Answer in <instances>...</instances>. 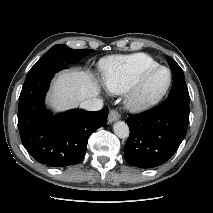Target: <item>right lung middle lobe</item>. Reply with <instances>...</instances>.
Listing matches in <instances>:
<instances>
[{"instance_id": "right-lung-middle-lobe-1", "label": "right lung middle lobe", "mask_w": 213, "mask_h": 213, "mask_svg": "<svg viewBox=\"0 0 213 213\" xmlns=\"http://www.w3.org/2000/svg\"><path fill=\"white\" fill-rule=\"evenodd\" d=\"M94 50L90 49H71L66 45L63 44H56L55 46L51 47L46 54L39 59L34 66L40 65L50 61H62L66 63H77L79 62L84 56L93 52Z\"/></svg>"}]
</instances>
